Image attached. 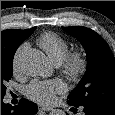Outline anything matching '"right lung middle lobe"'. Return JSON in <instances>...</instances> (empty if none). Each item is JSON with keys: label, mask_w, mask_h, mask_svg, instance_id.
<instances>
[{"label": "right lung middle lobe", "mask_w": 115, "mask_h": 115, "mask_svg": "<svg viewBox=\"0 0 115 115\" xmlns=\"http://www.w3.org/2000/svg\"><path fill=\"white\" fill-rule=\"evenodd\" d=\"M14 55H1V98L6 92L5 83L12 77V63Z\"/></svg>", "instance_id": "dd1d6c3e"}]
</instances>
